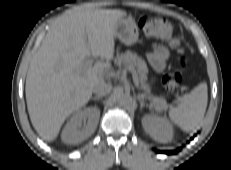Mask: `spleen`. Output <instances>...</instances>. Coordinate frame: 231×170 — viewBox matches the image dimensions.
<instances>
[{"instance_id": "1", "label": "spleen", "mask_w": 231, "mask_h": 170, "mask_svg": "<svg viewBox=\"0 0 231 170\" xmlns=\"http://www.w3.org/2000/svg\"><path fill=\"white\" fill-rule=\"evenodd\" d=\"M207 85L201 83L189 94L178 100L175 107L169 110L171 121L183 131H195L203 122L207 107Z\"/></svg>"}]
</instances>
